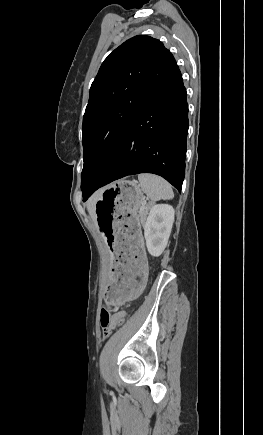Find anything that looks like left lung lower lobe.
Segmentation results:
<instances>
[{"label": "left lung lower lobe", "mask_w": 263, "mask_h": 435, "mask_svg": "<svg viewBox=\"0 0 263 435\" xmlns=\"http://www.w3.org/2000/svg\"><path fill=\"white\" fill-rule=\"evenodd\" d=\"M186 96L178 69L131 122L83 201L98 188L139 173L160 175L181 191L189 127Z\"/></svg>", "instance_id": "1"}]
</instances>
